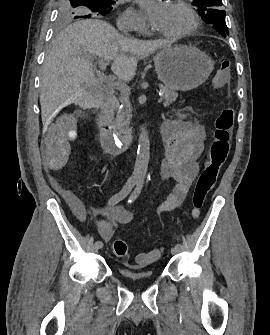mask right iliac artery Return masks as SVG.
<instances>
[{
    "instance_id": "obj_1",
    "label": "right iliac artery",
    "mask_w": 270,
    "mask_h": 335,
    "mask_svg": "<svg viewBox=\"0 0 270 335\" xmlns=\"http://www.w3.org/2000/svg\"><path fill=\"white\" fill-rule=\"evenodd\" d=\"M136 184V180L133 178H130L127 183L125 184V186L122 188L121 191H119L117 194L113 195L109 201H108V206L112 207L115 204H117L118 202H120L121 200H123L133 189V187ZM95 244L99 247L102 248L103 247V243L101 241H96Z\"/></svg>"
}]
</instances>
